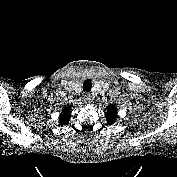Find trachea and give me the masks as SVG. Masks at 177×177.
<instances>
[{
    "label": "trachea",
    "instance_id": "obj_1",
    "mask_svg": "<svg viewBox=\"0 0 177 177\" xmlns=\"http://www.w3.org/2000/svg\"><path fill=\"white\" fill-rule=\"evenodd\" d=\"M92 88V83L89 79L85 80L83 83V91L84 92H90Z\"/></svg>",
    "mask_w": 177,
    "mask_h": 177
}]
</instances>
